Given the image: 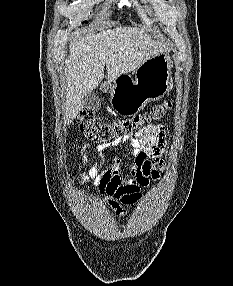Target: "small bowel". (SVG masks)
Segmentation results:
<instances>
[{
  "label": "small bowel",
  "instance_id": "c3829d8e",
  "mask_svg": "<svg viewBox=\"0 0 233 286\" xmlns=\"http://www.w3.org/2000/svg\"><path fill=\"white\" fill-rule=\"evenodd\" d=\"M121 143L129 144L133 156L130 177L126 179L121 177L119 158H115L111 166L106 169H102L100 163H96L82 175L84 183L92 182L102 194L106 195V203L118 216L126 214V206L137 202L141 197V189L149 185L150 179L156 180L164 168L161 156L167 149L165 128L161 124H150L135 136L109 144H98L96 148L100 152H107ZM88 149V143L81 148L82 161H85Z\"/></svg>",
  "mask_w": 233,
  "mask_h": 286
}]
</instances>
